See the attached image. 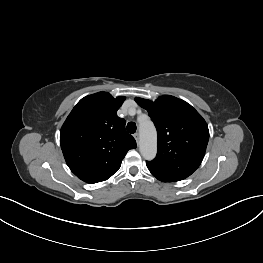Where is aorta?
<instances>
[{"mask_svg":"<svg viewBox=\"0 0 263 263\" xmlns=\"http://www.w3.org/2000/svg\"><path fill=\"white\" fill-rule=\"evenodd\" d=\"M140 144L139 149L142 157L146 160H152L157 153V133L155 126L149 120L140 123Z\"/></svg>","mask_w":263,"mask_h":263,"instance_id":"obj_1","label":"aorta"}]
</instances>
